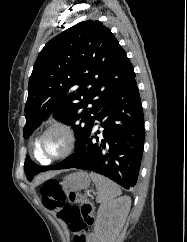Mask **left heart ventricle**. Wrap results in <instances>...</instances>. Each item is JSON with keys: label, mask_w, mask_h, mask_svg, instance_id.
<instances>
[{"label": "left heart ventricle", "mask_w": 187, "mask_h": 242, "mask_svg": "<svg viewBox=\"0 0 187 242\" xmlns=\"http://www.w3.org/2000/svg\"><path fill=\"white\" fill-rule=\"evenodd\" d=\"M66 146V137L63 132L54 130L42 142L43 153L47 156L60 154Z\"/></svg>", "instance_id": "left-heart-ventricle-1"}]
</instances>
